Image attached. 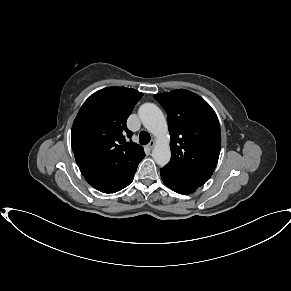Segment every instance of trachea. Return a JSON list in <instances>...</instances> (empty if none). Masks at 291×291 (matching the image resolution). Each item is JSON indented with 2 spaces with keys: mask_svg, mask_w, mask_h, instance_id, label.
Wrapping results in <instances>:
<instances>
[{
  "mask_svg": "<svg viewBox=\"0 0 291 291\" xmlns=\"http://www.w3.org/2000/svg\"><path fill=\"white\" fill-rule=\"evenodd\" d=\"M150 134L146 131H142L140 134H139V142L143 145L147 144L150 142Z\"/></svg>",
  "mask_w": 291,
  "mask_h": 291,
  "instance_id": "obj_1",
  "label": "trachea"
}]
</instances>
